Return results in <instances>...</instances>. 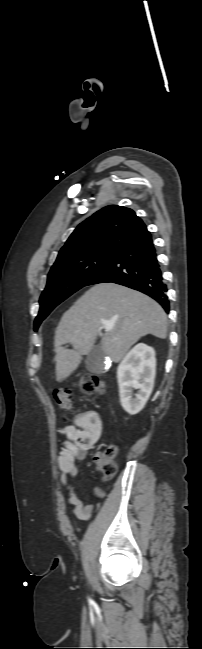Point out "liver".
Masks as SVG:
<instances>
[{
  "label": "liver",
  "mask_w": 202,
  "mask_h": 649,
  "mask_svg": "<svg viewBox=\"0 0 202 649\" xmlns=\"http://www.w3.org/2000/svg\"><path fill=\"white\" fill-rule=\"evenodd\" d=\"M107 325L111 328L107 329ZM103 329L101 349L111 361L119 362L141 337L152 334L165 339L167 316L156 301L129 287L115 283L91 287L63 314L57 326V382L65 380L79 366L82 355L91 351ZM66 343L73 349L63 347Z\"/></svg>",
  "instance_id": "obj_1"
}]
</instances>
